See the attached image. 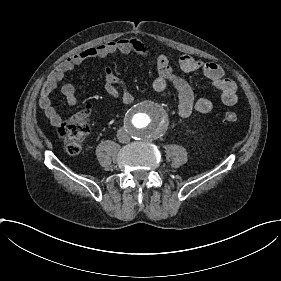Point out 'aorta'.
Returning <instances> with one entry per match:
<instances>
[{
    "label": "aorta",
    "mask_w": 281,
    "mask_h": 281,
    "mask_svg": "<svg viewBox=\"0 0 281 281\" xmlns=\"http://www.w3.org/2000/svg\"><path fill=\"white\" fill-rule=\"evenodd\" d=\"M127 128L138 140H153L162 136L169 124L165 109L153 102L142 101L135 104L127 114Z\"/></svg>",
    "instance_id": "762f6f07"
}]
</instances>
